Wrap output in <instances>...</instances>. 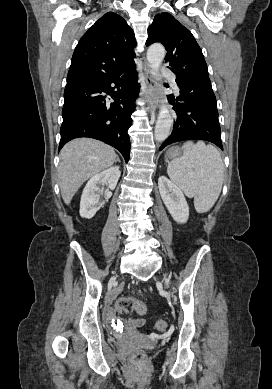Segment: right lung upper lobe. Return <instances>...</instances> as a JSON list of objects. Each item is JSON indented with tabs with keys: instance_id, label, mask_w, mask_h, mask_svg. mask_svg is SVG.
Listing matches in <instances>:
<instances>
[{
	"instance_id": "obj_1",
	"label": "right lung upper lobe",
	"mask_w": 272,
	"mask_h": 389,
	"mask_svg": "<svg viewBox=\"0 0 272 389\" xmlns=\"http://www.w3.org/2000/svg\"><path fill=\"white\" fill-rule=\"evenodd\" d=\"M136 40L133 30L119 15H103L77 44L67 82L102 76L133 62Z\"/></svg>"
}]
</instances>
